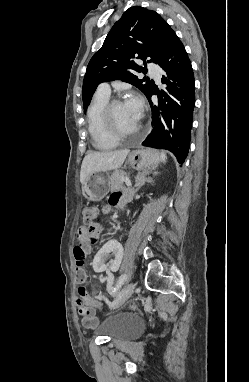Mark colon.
<instances>
[{
	"label": "colon",
	"instance_id": "obj_1",
	"mask_svg": "<svg viewBox=\"0 0 249 382\" xmlns=\"http://www.w3.org/2000/svg\"><path fill=\"white\" fill-rule=\"evenodd\" d=\"M81 215H82V220H83L84 225L86 227H91L95 218H96L97 210L93 206L84 205L81 208ZM88 252H89L88 248H76V246L74 247V257H75V260L77 263V265L75 266L76 281L77 282H86L87 281V276L85 275L82 267L85 264V262L87 261ZM78 294H79L80 298H83L84 296H86V289L84 286L81 285L79 287ZM89 311H90V309L88 311H85V312L88 313Z\"/></svg>",
	"mask_w": 249,
	"mask_h": 382
}]
</instances>
